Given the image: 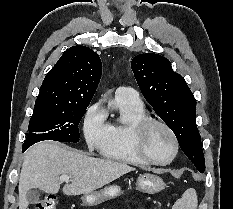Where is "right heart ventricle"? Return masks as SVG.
Wrapping results in <instances>:
<instances>
[{
	"instance_id": "obj_1",
	"label": "right heart ventricle",
	"mask_w": 233,
	"mask_h": 209,
	"mask_svg": "<svg viewBox=\"0 0 233 209\" xmlns=\"http://www.w3.org/2000/svg\"><path fill=\"white\" fill-rule=\"evenodd\" d=\"M111 106L119 112L120 119L108 124V136L100 147L101 154L110 160L130 165H148L136 153L133 144L134 125L147 116L143 103L115 95Z\"/></svg>"
}]
</instances>
